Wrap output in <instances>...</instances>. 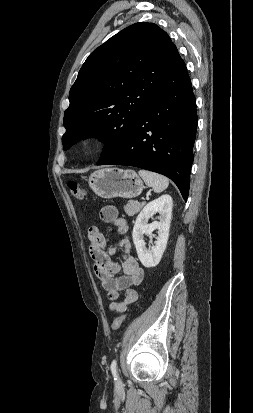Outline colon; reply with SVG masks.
Returning a JSON list of instances; mask_svg holds the SVG:
<instances>
[{
    "label": "colon",
    "instance_id": "colon-1",
    "mask_svg": "<svg viewBox=\"0 0 253 413\" xmlns=\"http://www.w3.org/2000/svg\"><path fill=\"white\" fill-rule=\"evenodd\" d=\"M68 190L70 192V194L72 195V197H74L77 200H82L85 196V191L83 190V188L75 181H69L67 184ZM127 315H120L118 317H116L111 324V328L112 330H118L123 321L126 319Z\"/></svg>",
    "mask_w": 253,
    "mask_h": 413
}]
</instances>
